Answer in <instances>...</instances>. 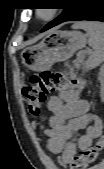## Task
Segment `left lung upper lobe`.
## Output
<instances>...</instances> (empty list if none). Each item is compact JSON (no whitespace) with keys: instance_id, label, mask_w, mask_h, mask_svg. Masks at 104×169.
Returning a JSON list of instances; mask_svg holds the SVG:
<instances>
[{"instance_id":"1","label":"left lung upper lobe","mask_w":104,"mask_h":169,"mask_svg":"<svg viewBox=\"0 0 104 169\" xmlns=\"http://www.w3.org/2000/svg\"><path fill=\"white\" fill-rule=\"evenodd\" d=\"M78 2H79V0H69L68 1L69 7L64 8L63 13L59 17H57L55 20H53L49 24H47L43 30L50 29V28L62 23L68 16H70L74 12V10L76 9V7L78 5Z\"/></svg>"}]
</instances>
